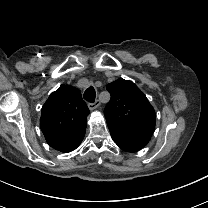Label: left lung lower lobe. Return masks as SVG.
<instances>
[{"label": "left lung lower lobe", "mask_w": 208, "mask_h": 208, "mask_svg": "<svg viewBox=\"0 0 208 208\" xmlns=\"http://www.w3.org/2000/svg\"><path fill=\"white\" fill-rule=\"evenodd\" d=\"M107 125L112 139L124 151L137 152L149 142V139L140 130H132L111 123H107Z\"/></svg>", "instance_id": "0a47b994"}]
</instances>
